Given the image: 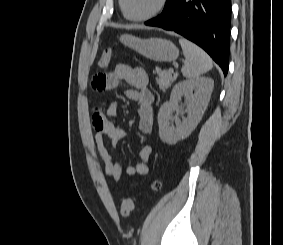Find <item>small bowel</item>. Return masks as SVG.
<instances>
[{
  "label": "small bowel",
  "instance_id": "c3829d8e",
  "mask_svg": "<svg viewBox=\"0 0 283 245\" xmlns=\"http://www.w3.org/2000/svg\"><path fill=\"white\" fill-rule=\"evenodd\" d=\"M121 82H125L132 88L126 90L127 98L138 105L139 129L144 134H151L154 128V96L148 89V76L138 67L127 64H118L112 72L98 73L93 76L91 86L93 90L101 92L117 88ZM117 102L109 101L106 112L97 111L92 117V125L96 131L94 142L104 161V173L106 176L119 180L123 173L120 162L108 151L105 140L108 139L112 146H117L124 138L125 131L112 121L117 114ZM151 145H145L139 152V162L125 168L128 175H146L152 157Z\"/></svg>",
  "mask_w": 283,
  "mask_h": 245
}]
</instances>
